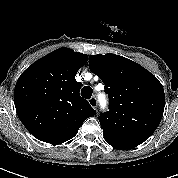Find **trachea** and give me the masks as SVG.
I'll list each match as a JSON object with an SVG mask.
<instances>
[{
  "mask_svg": "<svg viewBox=\"0 0 178 178\" xmlns=\"http://www.w3.org/2000/svg\"><path fill=\"white\" fill-rule=\"evenodd\" d=\"M93 90L89 86H84L81 90V96L85 99L91 98Z\"/></svg>",
  "mask_w": 178,
  "mask_h": 178,
  "instance_id": "trachea-1",
  "label": "trachea"
}]
</instances>
